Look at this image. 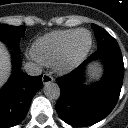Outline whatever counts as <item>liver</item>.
<instances>
[{
	"label": "liver",
	"mask_w": 128,
	"mask_h": 128,
	"mask_svg": "<svg viewBox=\"0 0 128 128\" xmlns=\"http://www.w3.org/2000/svg\"><path fill=\"white\" fill-rule=\"evenodd\" d=\"M11 70L10 56L5 45L0 42V87L7 81ZM98 74L99 70L94 68L93 74Z\"/></svg>",
	"instance_id": "liver-1"
}]
</instances>
